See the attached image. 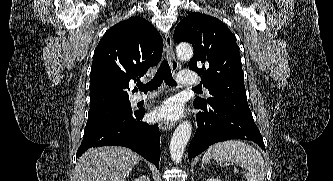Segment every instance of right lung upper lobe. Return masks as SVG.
<instances>
[{"label": "right lung upper lobe", "instance_id": "cb5924a9", "mask_svg": "<svg viewBox=\"0 0 333 181\" xmlns=\"http://www.w3.org/2000/svg\"><path fill=\"white\" fill-rule=\"evenodd\" d=\"M162 50L160 34L142 17H132L111 27L94 51L90 110L129 100V82H136L148 68L158 64Z\"/></svg>", "mask_w": 333, "mask_h": 181}]
</instances>
